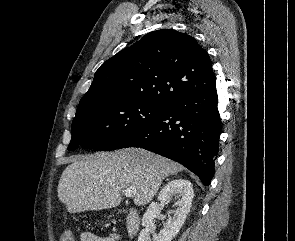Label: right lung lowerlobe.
I'll list each match as a JSON object with an SVG mask.
<instances>
[{"label": "right lung lower lobe", "instance_id": "right-lung-lower-lobe-1", "mask_svg": "<svg viewBox=\"0 0 295 241\" xmlns=\"http://www.w3.org/2000/svg\"><path fill=\"white\" fill-rule=\"evenodd\" d=\"M217 103L215 83L178 96L164 105L156 118L127 136L118 148L140 147L175 160L209 185L221 133Z\"/></svg>", "mask_w": 295, "mask_h": 241}]
</instances>
